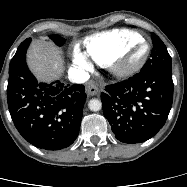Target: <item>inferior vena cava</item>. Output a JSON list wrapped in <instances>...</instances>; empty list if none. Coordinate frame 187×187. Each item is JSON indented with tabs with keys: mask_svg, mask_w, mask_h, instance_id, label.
I'll list each match as a JSON object with an SVG mask.
<instances>
[{
	"mask_svg": "<svg viewBox=\"0 0 187 187\" xmlns=\"http://www.w3.org/2000/svg\"><path fill=\"white\" fill-rule=\"evenodd\" d=\"M89 77V74L81 69L71 68L68 72V78L72 83H84Z\"/></svg>",
	"mask_w": 187,
	"mask_h": 187,
	"instance_id": "inferior-vena-cava-1",
	"label": "inferior vena cava"
}]
</instances>
